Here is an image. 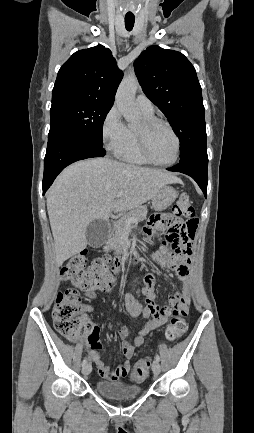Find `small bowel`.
I'll list each match as a JSON object with an SVG mask.
<instances>
[{
  "instance_id": "1",
  "label": "small bowel",
  "mask_w": 254,
  "mask_h": 433,
  "mask_svg": "<svg viewBox=\"0 0 254 433\" xmlns=\"http://www.w3.org/2000/svg\"><path fill=\"white\" fill-rule=\"evenodd\" d=\"M170 222L169 215H163L160 217L152 218L149 225L145 228L144 233L147 237H150L156 230L165 228ZM158 263L163 269H168L176 272L179 279L184 283L185 288L182 292L173 296L170 300L169 305H161L156 302L157 294L155 292V275L149 273L144 277V287L142 293L145 296V304L142 305L133 300L130 295H126L124 299L125 309L132 318H143L145 323L134 336L133 340L129 342L126 340L129 331L126 327H122L117 331V335L121 339V353L126 360L120 364L116 369H109L102 360L100 350L103 345L100 341V329L98 324L90 323L87 318L85 321L92 325V332L89 337V359L95 363L98 369L99 375L110 381H116L126 377L130 371V359L133 356L135 348L143 344L144 338L154 329L164 325L171 311V307L174 305L187 304L188 291L192 274L191 268V250L189 255L186 256H157ZM115 278H112L109 282L100 286L98 290L109 291L115 285ZM89 298H94L95 293L86 292ZM85 311H91V307L85 306Z\"/></svg>"
}]
</instances>
